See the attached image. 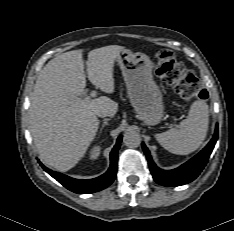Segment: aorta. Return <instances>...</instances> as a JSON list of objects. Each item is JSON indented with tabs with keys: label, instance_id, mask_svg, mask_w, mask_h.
<instances>
[{
	"label": "aorta",
	"instance_id": "obj_1",
	"mask_svg": "<svg viewBox=\"0 0 234 231\" xmlns=\"http://www.w3.org/2000/svg\"><path fill=\"white\" fill-rule=\"evenodd\" d=\"M123 143L129 148H137L141 143L140 134L132 129L127 130L123 136Z\"/></svg>",
	"mask_w": 234,
	"mask_h": 231
}]
</instances>
